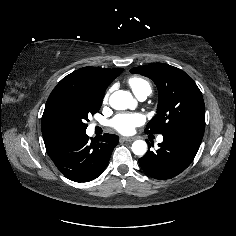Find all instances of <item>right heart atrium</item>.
<instances>
[{"label":"right heart atrium","instance_id":"obj_1","mask_svg":"<svg viewBox=\"0 0 236 236\" xmlns=\"http://www.w3.org/2000/svg\"><path fill=\"white\" fill-rule=\"evenodd\" d=\"M108 96L109 94H106L105 97H104V102H106L108 100Z\"/></svg>","mask_w":236,"mask_h":236}]
</instances>
